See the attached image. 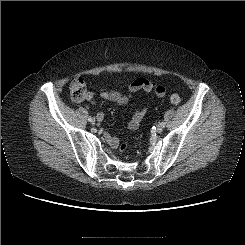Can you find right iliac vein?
Masks as SVG:
<instances>
[{
  "label": "right iliac vein",
  "instance_id": "right-iliac-vein-1",
  "mask_svg": "<svg viewBox=\"0 0 245 245\" xmlns=\"http://www.w3.org/2000/svg\"><path fill=\"white\" fill-rule=\"evenodd\" d=\"M89 122H90L91 124H94V123H95V119H94V118H91V119L89 120Z\"/></svg>",
  "mask_w": 245,
  "mask_h": 245
}]
</instances>
